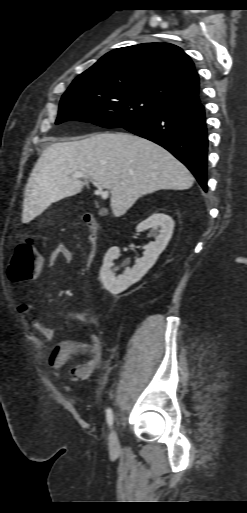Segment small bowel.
<instances>
[{
  "mask_svg": "<svg viewBox=\"0 0 247 513\" xmlns=\"http://www.w3.org/2000/svg\"><path fill=\"white\" fill-rule=\"evenodd\" d=\"M74 260L73 252L64 245L57 246L49 256V265L56 266L59 262L66 264ZM22 316L29 320L33 329L41 336L45 343H51L55 338V331L32 314L29 302L22 300L18 305ZM74 318L80 322L90 323L89 315L78 312ZM103 344L97 335H89L86 339L63 340L55 344L47 358V364L53 369H58L67 364L73 358L88 353V358L72 366L69 370L70 377L75 380H87L98 369L103 357Z\"/></svg>",
  "mask_w": 247,
  "mask_h": 513,
  "instance_id": "1",
  "label": "small bowel"
}]
</instances>
